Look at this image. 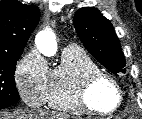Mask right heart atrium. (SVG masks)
<instances>
[{"label": "right heart atrium", "mask_w": 142, "mask_h": 119, "mask_svg": "<svg viewBox=\"0 0 142 119\" xmlns=\"http://www.w3.org/2000/svg\"><path fill=\"white\" fill-rule=\"evenodd\" d=\"M50 69L37 50L28 51L18 62L14 82L24 103L39 107L45 103V93Z\"/></svg>", "instance_id": "d8ad5b80"}]
</instances>
